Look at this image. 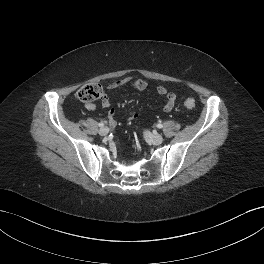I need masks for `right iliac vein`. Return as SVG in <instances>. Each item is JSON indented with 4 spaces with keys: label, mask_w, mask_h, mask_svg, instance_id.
Returning a JSON list of instances; mask_svg holds the SVG:
<instances>
[{
    "label": "right iliac vein",
    "mask_w": 264,
    "mask_h": 264,
    "mask_svg": "<svg viewBox=\"0 0 264 264\" xmlns=\"http://www.w3.org/2000/svg\"><path fill=\"white\" fill-rule=\"evenodd\" d=\"M108 133H109V128H108V127H102V128H100V130H99V134H100L101 136H106Z\"/></svg>",
    "instance_id": "obj_1"
}]
</instances>
